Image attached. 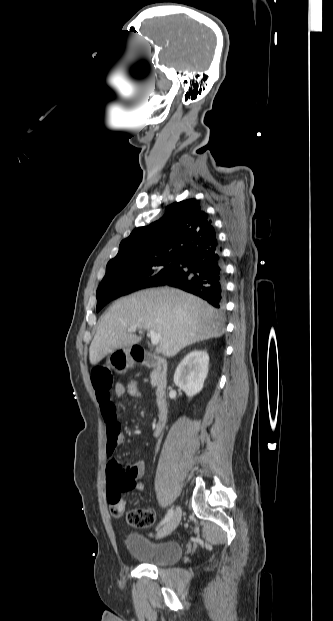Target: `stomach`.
I'll return each mask as SVG.
<instances>
[{
  "mask_svg": "<svg viewBox=\"0 0 333 621\" xmlns=\"http://www.w3.org/2000/svg\"><path fill=\"white\" fill-rule=\"evenodd\" d=\"M130 351H131V348H122V347H119L113 350L110 355L111 365H113L116 368H118L116 364H121L124 366L128 365L132 361Z\"/></svg>",
  "mask_w": 333,
  "mask_h": 621,
  "instance_id": "1",
  "label": "stomach"
}]
</instances>
